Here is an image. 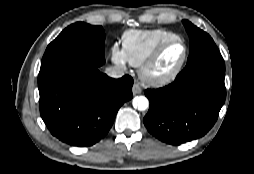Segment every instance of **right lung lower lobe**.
Here are the masks:
<instances>
[{
  "label": "right lung lower lobe",
  "mask_w": 254,
  "mask_h": 174,
  "mask_svg": "<svg viewBox=\"0 0 254 174\" xmlns=\"http://www.w3.org/2000/svg\"><path fill=\"white\" fill-rule=\"evenodd\" d=\"M133 79H113L99 67H72L51 75L39 87L41 117L60 141L92 146L104 138L124 102L132 97Z\"/></svg>",
  "instance_id": "right-lung-lower-lobe-1"
}]
</instances>
